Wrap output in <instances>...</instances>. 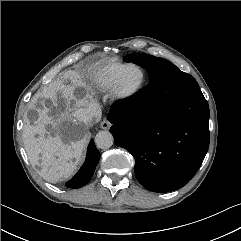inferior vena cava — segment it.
<instances>
[{"mask_svg": "<svg viewBox=\"0 0 241 241\" xmlns=\"http://www.w3.org/2000/svg\"><path fill=\"white\" fill-rule=\"evenodd\" d=\"M101 116V107L98 103H92L82 111V118L85 123L92 122Z\"/></svg>", "mask_w": 241, "mask_h": 241, "instance_id": "inferior-vena-cava-1", "label": "inferior vena cava"}]
</instances>
